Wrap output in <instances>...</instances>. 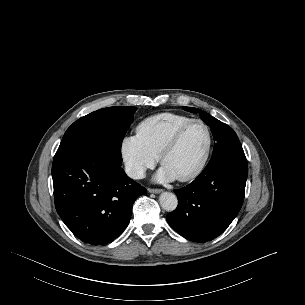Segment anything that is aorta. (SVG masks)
<instances>
[{
    "mask_svg": "<svg viewBox=\"0 0 305 305\" xmlns=\"http://www.w3.org/2000/svg\"><path fill=\"white\" fill-rule=\"evenodd\" d=\"M159 203L164 210L170 212L176 209L178 200L175 194L171 192H163L159 196Z\"/></svg>",
    "mask_w": 305,
    "mask_h": 305,
    "instance_id": "1",
    "label": "aorta"
}]
</instances>
